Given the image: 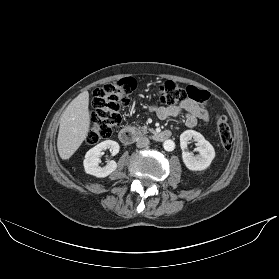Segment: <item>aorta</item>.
Returning <instances> with one entry per match:
<instances>
[{"mask_svg":"<svg viewBox=\"0 0 279 279\" xmlns=\"http://www.w3.org/2000/svg\"><path fill=\"white\" fill-rule=\"evenodd\" d=\"M163 148L166 150V151H173L174 148H175V143L172 141V140H165L164 143H163Z\"/></svg>","mask_w":279,"mask_h":279,"instance_id":"aorta-1","label":"aorta"}]
</instances>
